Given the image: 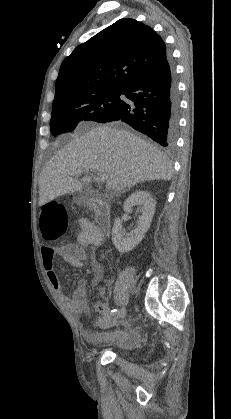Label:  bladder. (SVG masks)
Wrapping results in <instances>:
<instances>
[{
	"instance_id": "31cf9c89",
	"label": "bladder",
	"mask_w": 231,
	"mask_h": 419,
	"mask_svg": "<svg viewBox=\"0 0 231 419\" xmlns=\"http://www.w3.org/2000/svg\"><path fill=\"white\" fill-rule=\"evenodd\" d=\"M124 360L127 362H132V358L129 356H123Z\"/></svg>"
}]
</instances>
